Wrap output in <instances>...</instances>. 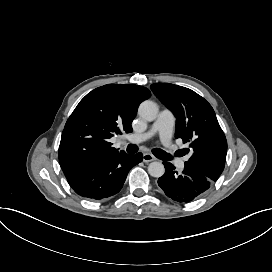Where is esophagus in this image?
<instances>
[{
	"label": "esophagus",
	"mask_w": 272,
	"mask_h": 272,
	"mask_svg": "<svg viewBox=\"0 0 272 272\" xmlns=\"http://www.w3.org/2000/svg\"><path fill=\"white\" fill-rule=\"evenodd\" d=\"M156 157L152 155L151 153H144L143 154V161L144 162H150V161H155Z\"/></svg>",
	"instance_id": "obj_1"
}]
</instances>
